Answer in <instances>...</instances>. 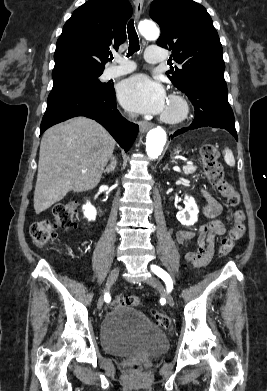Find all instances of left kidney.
Returning <instances> with one entry per match:
<instances>
[{"label": "left kidney", "instance_id": "obj_1", "mask_svg": "<svg viewBox=\"0 0 267 391\" xmlns=\"http://www.w3.org/2000/svg\"><path fill=\"white\" fill-rule=\"evenodd\" d=\"M185 208L179 211L176 215L178 221L182 225L191 226L198 220V207L193 197L185 195Z\"/></svg>", "mask_w": 267, "mask_h": 391}]
</instances>
